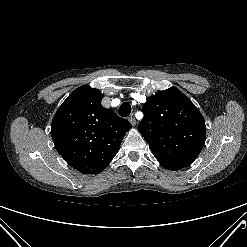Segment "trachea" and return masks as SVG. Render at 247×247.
<instances>
[{
	"instance_id": "3493384b",
	"label": "trachea",
	"mask_w": 247,
	"mask_h": 247,
	"mask_svg": "<svg viewBox=\"0 0 247 247\" xmlns=\"http://www.w3.org/2000/svg\"><path fill=\"white\" fill-rule=\"evenodd\" d=\"M131 113V106L129 103L124 102L123 104H121V106L119 107V115L122 117H128Z\"/></svg>"
}]
</instances>
